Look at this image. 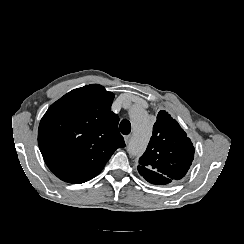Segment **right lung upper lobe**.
Instances as JSON below:
<instances>
[{
    "label": "right lung upper lobe",
    "instance_id": "1",
    "mask_svg": "<svg viewBox=\"0 0 244 244\" xmlns=\"http://www.w3.org/2000/svg\"><path fill=\"white\" fill-rule=\"evenodd\" d=\"M114 94L98 84L74 89L53 103L38 129L49 169L61 180L83 183L100 173L117 148L125 147Z\"/></svg>",
    "mask_w": 244,
    "mask_h": 244
}]
</instances>
